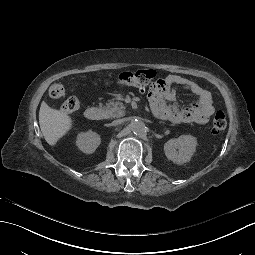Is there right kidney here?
Returning a JSON list of instances; mask_svg holds the SVG:
<instances>
[{"instance_id":"1","label":"right kidney","mask_w":255,"mask_h":255,"mask_svg":"<svg viewBox=\"0 0 255 255\" xmlns=\"http://www.w3.org/2000/svg\"><path fill=\"white\" fill-rule=\"evenodd\" d=\"M100 142V136L96 132L89 130L78 134L76 145L82 152L91 154L100 145Z\"/></svg>"}]
</instances>
